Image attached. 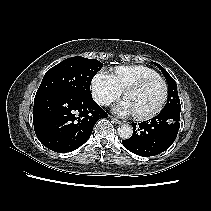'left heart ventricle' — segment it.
Listing matches in <instances>:
<instances>
[{"label": "left heart ventricle", "mask_w": 211, "mask_h": 211, "mask_svg": "<svg viewBox=\"0 0 211 211\" xmlns=\"http://www.w3.org/2000/svg\"><path fill=\"white\" fill-rule=\"evenodd\" d=\"M164 95V87L160 82H153L144 88L126 94L134 114L145 115L154 111L160 104Z\"/></svg>", "instance_id": "1"}]
</instances>
